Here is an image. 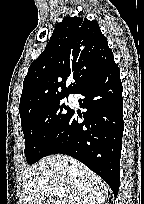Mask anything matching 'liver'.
<instances>
[{"instance_id": "1", "label": "liver", "mask_w": 144, "mask_h": 204, "mask_svg": "<svg viewBox=\"0 0 144 204\" xmlns=\"http://www.w3.org/2000/svg\"><path fill=\"white\" fill-rule=\"evenodd\" d=\"M62 194L52 204H103L108 185L81 162L53 155L27 167L23 173V204H41L51 189Z\"/></svg>"}]
</instances>
